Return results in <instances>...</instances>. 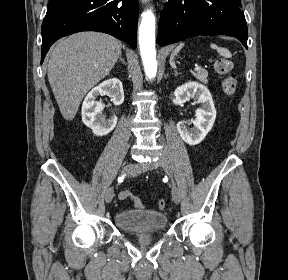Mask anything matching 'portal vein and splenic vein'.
Wrapping results in <instances>:
<instances>
[{"mask_svg":"<svg viewBox=\"0 0 288 280\" xmlns=\"http://www.w3.org/2000/svg\"><path fill=\"white\" fill-rule=\"evenodd\" d=\"M200 69H201L200 66H196V67L194 68L195 71H198V70H200Z\"/></svg>","mask_w":288,"mask_h":280,"instance_id":"1","label":"portal vein and splenic vein"}]
</instances>
